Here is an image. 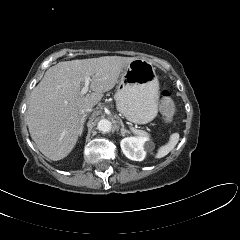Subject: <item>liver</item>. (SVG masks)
I'll return each instance as SVG.
<instances>
[{"instance_id": "obj_1", "label": "liver", "mask_w": 240, "mask_h": 240, "mask_svg": "<svg viewBox=\"0 0 240 240\" xmlns=\"http://www.w3.org/2000/svg\"><path fill=\"white\" fill-rule=\"evenodd\" d=\"M134 57L104 56L59 62L49 68L34 88L27 110V125L37 148L53 161L75 147L86 107H94L117 83ZM85 77L92 92L81 95Z\"/></svg>"}]
</instances>
